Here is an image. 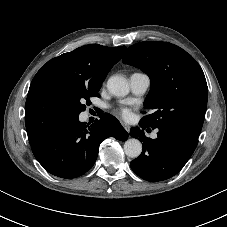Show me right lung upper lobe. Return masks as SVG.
Here are the masks:
<instances>
[{"label":"right lung upper lobe","mask_w":227,"mask_h":227,"mask_svg":"<svg viewBox=\"0 0 227 227\" xmlns=\"http://www.w3.org/2000/svg\"><path fill=\"white\" fill-rule=\"evenodd\" d=\"M125 49L90 44L48 61L33 78L27 95L25 123L30 144L68 120L70 93L81 86L101 87Z\"/></svg>","instance_id":"right-lung-upper-lobe-1"}]
</instances>
